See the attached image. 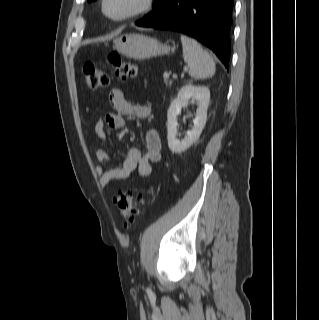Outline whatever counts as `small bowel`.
I'll use <instances>...</instances> for the list:
<instances>
[{
	"mask_svg": "<svg viewBox=\"0 0 319 320\" xmlns=\"http://www.w3.org/2000/svg\"><path fill=\"white\" fill-rule=\"evenodd\" d=\"M109 102L114 112H109L103 121H97L94 125V133L98 139H109L108 129H120L125 125V118L132 117L146 119L151 115L149 104L137 105L129 103L124 93L119 88H113L109 93ZM145 150L132 148L118 166H110L103 169L102 165L113 163L112 154L104 149L94 152L95 171L99 184L107 187L114 180H125L135 170L141 177H149L152 173L153 164L160 160L161 138L157 130L150 129L145 136Z\"/></svg>",
	"mask_w": 319,
	"mask_h": 320,
	"instance_id": "c3829d8e",
	"label": "small bowel"
}]
</instances>
